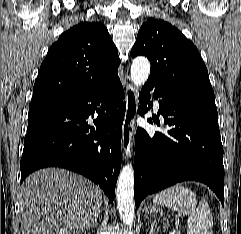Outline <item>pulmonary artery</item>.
<instances>
[{"label": "pulmonary artery", "mask_w": 241, "mask_h": 234, "mask_svg": "<svg viewBox=\"0 0 241 234\" xmlns=\"http://www.w3.org/2000/svg\"><path fill=\"white\" fill-rule=\"evenodd\" d=\"M154 107H155L156 109L159 108V102H158V100H155V101H154Z\"/></svg>", "instance_id": "obj_1"}]
</instances>
